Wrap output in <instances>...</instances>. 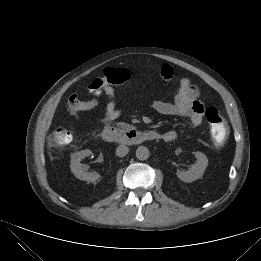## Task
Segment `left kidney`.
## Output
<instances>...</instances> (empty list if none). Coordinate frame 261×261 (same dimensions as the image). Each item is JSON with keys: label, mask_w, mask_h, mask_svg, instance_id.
Instances as JSON below:
<instances>
[{"label": "left kidney", "mask_w": 261, "mask_h": 261, "mask_svg": "<svg viewBox=\"0 0 261 261\" xmlns=\"http://www.w3.org/2000/svg\"><path fill=\"white\" fill-rule=\"evenodd\" d=\"M197 161L188 171H177V177L183 182H193L201 178L204 174L205 169L208 166V159L202 152H195Z\"/></svg>", "instance_id": "obj_1"}]
</instances>
